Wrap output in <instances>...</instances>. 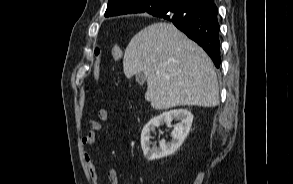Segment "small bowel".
<instances>
[{"label": "small bowel", "instance_id": "1", "mask_svg": "<svg viewBox=\"0 0 293 184\" xmlns=\"http://www.w3.org/2000/svg\"><path fill=\"white\" fill-rule=\"evenodd\" d=\"M110 118V114L106 109H100L98 112V119L99 120H91L89 124L88 132L82 138V144L84 146H91L96 141L97 133L102 128V122L108 121ZM86 164L88 171L90 173L91 179L94 184H99L98 174L95 168L94 161L92 156L89 152L85 154ZM108 177L111 184H119L118 173L115 169L111 168L108 170Z\"/></svg>", "mask_w": 293, "mask_h": 184}]
</instances>
